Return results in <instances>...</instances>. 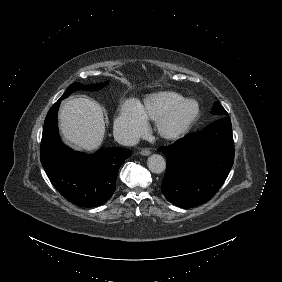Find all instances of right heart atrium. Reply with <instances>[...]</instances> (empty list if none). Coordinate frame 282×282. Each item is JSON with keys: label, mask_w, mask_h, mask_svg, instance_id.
I'll return each mask as SVG.
<instances>
[{"label": "right heart atrium", "mask_w": 282, "mask_h": 282, "mask_svg": "<svg viewBox=\"0 0 282 282\" xmlns=\"http://www.w3.org/2000/svg\"><path fill=\"white\" fill-rule=\"evenodd\" d=\"M147 128V120L141 107L131 101L126 102L114 123L116 134L128 141L135 140Z\"/></svg>", "instance_id": "right-heart-atrium-1"}]
</instances>
